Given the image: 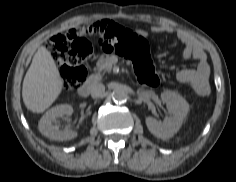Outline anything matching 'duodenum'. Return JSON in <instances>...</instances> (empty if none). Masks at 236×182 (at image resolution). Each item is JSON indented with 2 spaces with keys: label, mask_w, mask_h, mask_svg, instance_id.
Masks as SVG:
<instances>
[{
  "label": "duodenum",
  "mask_w": 236,
  "mask_h": 182,
  "mask_svg": "<svg viewBox=\"0 0 236 182\" xmlns=\"http://www.w3.org/2000/svg\"><path fill=\"white\" fill-rule=\"evenodd\" d=\"M98 80V76L91 78L89 81L81 85L78 89V94L82 97H86L89 95L92 87L95 85L96 81Z\"/></svg>",
  "instance_id": "1"
}]
</instances>
